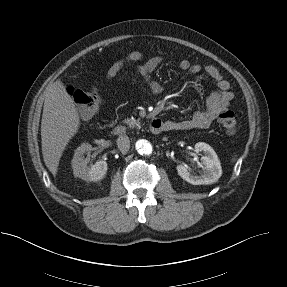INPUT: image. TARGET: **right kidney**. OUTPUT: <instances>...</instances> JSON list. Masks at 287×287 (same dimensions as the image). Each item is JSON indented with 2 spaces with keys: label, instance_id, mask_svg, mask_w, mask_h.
Masks as SVG:
<instances>
[{
  "label": "right kidney",
  "instance_id": "obj_1",
  "mask_svg": "<svg viewBox=\"0 0 287 287\" xmlns=\"http://www.w3.org/2000/svg\"><path fill=\"white\" fill-rule=\"evenodd\" d=\"M92 146L88 143H83L79 146L74 153L72 159V169L75 177H79L86 181H98L102 179L107 172V162L100 160L93 166L89 167V157L85 158V153L89 154Z\"/></svg>",
  "mask_w": 287,
  "mask_h": 287
}]
</instances>
